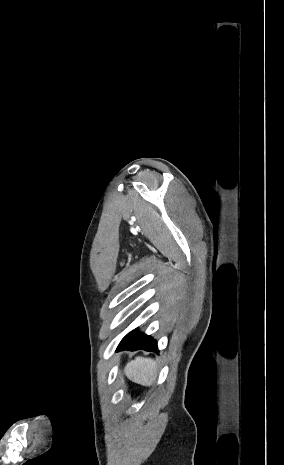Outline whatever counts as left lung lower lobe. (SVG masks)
I'll return each instance as SVG.
<instances>
[{
  "label": "left lung lower lobe",
  "mask_w": 284,
  "mask_h": 465,
  "mask_svg": "<svg viewBox=\"0 0 284 465\" xmlns=\"http://www.w3.org/2000/svg\"><path fill=\"white\" fill-rule=\"evenodd\" d=\"M124 349L131 351L143 349L146 351H154L156 353L159 352L157 343L151 336L137 332L136 330L130 332L122 339L118 345L117 351Z\"/></svg>",
  "instance_id": "obj_1"
}]
</instances>
